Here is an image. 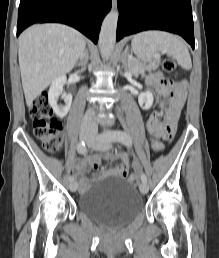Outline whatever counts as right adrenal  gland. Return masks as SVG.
Returning a JSON list of instances; mask_svg holds the SVG:
<instances>
[{
    "instance_id": "right-adrenal-gland-1",
    "label": "right adrenal gland",
    "mask_w": 219,
    "mask_h": 258,
    "mask_svg": "<svg viewBox=\"0 0 219 258\" xmlns=\"http://www.w3.org/2000/svg\"><path fill=\"white\" fill-rule=\"evenodd\" d=\"M87 57H88V53H87V50H86V54H85V59H84V61L79 62V63H77L76 65H77L78 67L84 66V65L86 64V62H87Z\"/></svg>"
}]
</instances>
